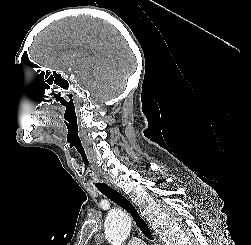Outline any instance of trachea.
<instances>
[{
	"mask_svg": "<svg viewBox=\"0 0 251 245\" xmlns=\"http://www.w3.org/2000/svg\"><path fill=\"white\" fill-rule=\"evenodd\" d=\"M95 185L103 195H105L108 199H110L111 201L125 209L128 213H130L138 228L148 239H153L147 223L139 215L134 205L128 199H126L118 191L114 190L113 188L104 183H96Z\"/></svg>",
	"mask_w": 251,
	"mask_h": 245,
	"instance_id": "trachea-1",
	"label": "trachea"
}]
</instances>
